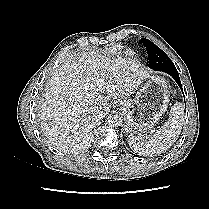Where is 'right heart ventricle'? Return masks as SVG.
<instances>
[{"mask_svg":"<svg viewBox=\"0 0 209 209\" xmlns=\"http://www.w3.org/2000/svg\"><path fill=\"white\" fill-rule=\"evenodd\" d=\"M120 51V48L119 47H114L110 50V53L111 54H117L118 52Z\"/></svg>","mask_w":209,"mask_h":209,"instance_id":"right-heart-ventricle-1","label":"right heart ventricle"}]
</instances>
